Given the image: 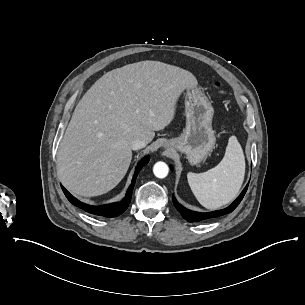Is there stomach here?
<instances>
[{"mask_svg": "<svg viewBox=\"0 0 305 305\" xmlns=\"http://www.w3.org/2000/svg\"><path fill=\"white\" fill-rule=\"evenodd\" d=\"M186 127L181 136L166 143V147L185 153L191 165H197L212 152L216 137L212 129L214 108L201 88H186Z\"/></svg>", "mask_w": 305, "mask_h": 305, "instance_id": "obj_1", "label": "stomach"}]
</instances>
